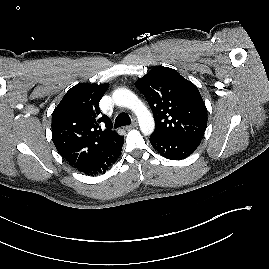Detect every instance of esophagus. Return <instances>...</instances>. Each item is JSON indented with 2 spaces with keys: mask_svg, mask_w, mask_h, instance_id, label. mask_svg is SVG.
<instances>
[{
  "mask_svg": "<svg viewBox=\"0 0 269 269\" xmlns=\"http://www.w3.org/2000/svg\"><path fill=\"white\" fill-rule=\"evenodd\" d=\"M137 126V122L133 120V123L131 125H128L125 127L126 130H131Z\"/></svg>",
  "mask_w": 269,
  "mask_h": 269,
  "instance_id": "obj_1",
  "label": "esophagus"
}]
</instances>
